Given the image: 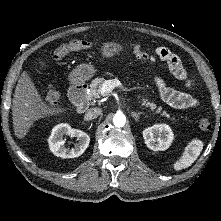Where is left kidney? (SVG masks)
Returning <instances> with one entry per match:
<instances>
[{
    "mask_svg": "<svg viewBox=\"0 0 221 221\" xmlns=\"http://www.w3.org/2000/svg\"><path fill=\"white\" fill-rule=\"evenodd\" d=\"M147 147L153 151H164L173 141V132L166 124H156L143 131Z\"/></svg>",
    "mask_w": 221,
    "mask_h": 221,
    "instance_id": "5707ae66",
    "label": "left kidney"
}]
</instances>
